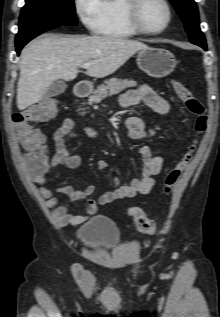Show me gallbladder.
Wrapping results in <instances>:
<instances>
[{
  "label": "gallbladder",
  "mask_w": 220,
  "mask_h": 317,
  "mask_svg": "<svg viewBox=\"0 0 220 317\" xmlns=\"http://www.w3.org/2000/svg\"><path fill=\"white\" fill-rule=\"evenodd\" d=\"M67 88V85L64 82L61 81H54L50 87L48 88V90L45 93V97L49 98V97H54V96H58L62 93L65 92Z\"/></svg>",
  "instance_id": "1"
}]
</instances>
